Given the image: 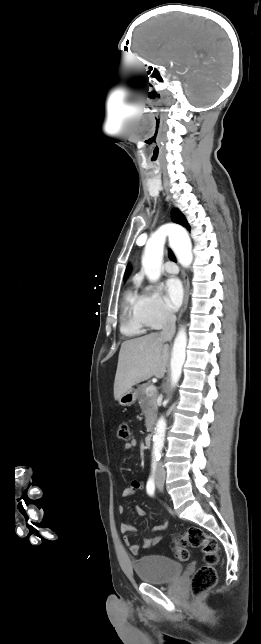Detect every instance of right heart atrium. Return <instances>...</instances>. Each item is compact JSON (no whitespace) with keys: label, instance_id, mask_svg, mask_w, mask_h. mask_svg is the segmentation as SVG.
<instances>
[{"label":"right heart atrium","instance_id":"right-heart-atrium-1","mask_svg":"<svg viewBox=\"0 0 261 644\" xmlns=\"http://www.w3.org/2000/svg\"><path fill=\"white\" fill-rule=\"evenodd\" d=\"M142 311L149 327L159 329L174 321V315L167 309L155 286L147 285L141 294Z\"/></svg>","mask_w":261,"mask_h":644}]
</instances>
